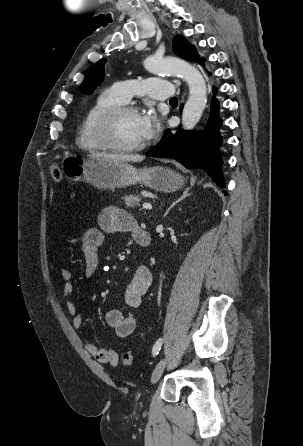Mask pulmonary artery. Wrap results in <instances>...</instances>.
Instances as JSON below:
<instances>
[{"instance_id": "obj_1", "label": "pulmonary artery", "mask_w": 303, "mask_h": 446, "mask_svg": "<svg viewBox=\"0 0 303 446\" xmlns=\"http://www.w3.org/2000/svg\"><path fill=\"white\" fill-rule=\"evenodd\" d=\"M113 89L124 102H128L134 95L144 94L154 99L165 100L171 98L174 93L170 82L158 78L119 81L114 84Z\"/></svg>"}]
</instances>
